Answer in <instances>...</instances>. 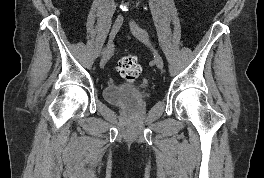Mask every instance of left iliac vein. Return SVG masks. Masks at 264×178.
Masks as SVG:
<instances>
[{"instance_id":"left-iliac-vein-1","label":"left iliac vein","mask_w":264,"mask_h":178,"mask_svg":"<svg viewBox=\"0 0 264 178\" xmlns=\"http://www.w3.org/2000/svg\"><path fill=\"white\" fill-rule=\"evenodd\" d=\"M130 27H131V30H132L134 36L139 41H141L142 43L150 46L149 35L147 34V32L145 30H143L142 28H140L133 21L130 22ZM153 51H154V61H155V64H156L157 68L158 69H163L164 62H163L162 57L160 56V54L156 50H153Z\"/></svg>"}]
</instances>
